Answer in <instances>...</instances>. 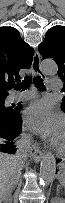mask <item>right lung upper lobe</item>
<instances>
[{"label":"right lung upper lobe","instance_id":"obj_1","mask_svg":"<svg viewBox=\"0 0 65 203\" xmlns=\"http://www.w3.org/2000/svg\"><path fill=\"white\" fill-rule=\"evenodd\" d=\"M34 50L20 37L13 27H0V96H8L18 81L19 70L29 68L32 64Z\"/></svg>","mask_w":65,"mask_h":203}]
</instances>
